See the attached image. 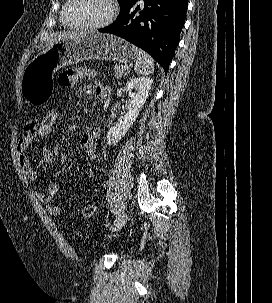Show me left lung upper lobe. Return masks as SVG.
Wrapping results in <instances>:
<instances>
[{
  "instance_id": "obj_1",
  "label": "left lung upper lobe",
  "mask_w": 272,
  "mask_h": 303,
  "mask_svg": "<svg viewBox=\"0 0 272 303\" xmlns=\"http://www.w3.org/2000/svg\"><path fill=\"white\" fill-rule=\"evenodd\" d=\"M119 4H120V7H121V13H120V16L124 15L125 12L130 8L132 7L136 2L137 0H118ZM119 16V17H120Z\"/></svg>"
}]
</instances>
